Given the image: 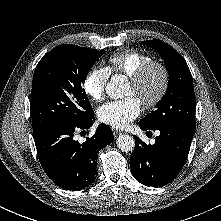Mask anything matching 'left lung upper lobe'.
Returning <instances> with one entry per match:
<instances>
[{"label":"left lung upper lobe","mask_w":221,"mask_h":221,"mask_svg":"<svg viewBox=\"0 0 221 221\" xmlns=\"http://www.w3.org/2000/svg\"><path fill=\"white\" fill-rule=\"evenodd\" d=\"M158 51L169 73L168 88L155 110L140 122L150 129L179 124L195 130V93L185 59L170 45L160 40L143 41Z\"/></svg>","instance_id":"obj_1"}]
</instances>
